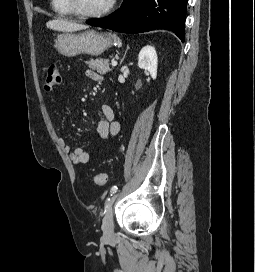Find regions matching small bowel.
<instances>
[{"label": "small bowel", "mask_w": 255, "mask_h": 272, "mask_svg": "<svg viewBox=\"0 0 255 272\" xmlns=\"http://www.w3.org/2000/svg\"><path fill=\"white\" fill-rule=\"evenodd\" d=\"M86 76L96 82L103 80L101 74L94 70H87ZM101 118L96 126V134L104 140L112 139L120 129L119 122L116 119L114 109L110 105H101L99 107ZM62 148L70 153V159L74 164H86L89 161V154L83 147H76L71 150V147L66 139L60 140Z\"/></svg>", "instance_id": "c3829d8e"}]
</instances>
